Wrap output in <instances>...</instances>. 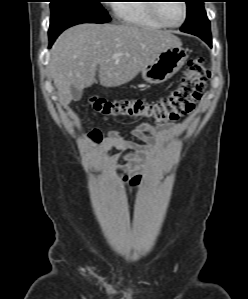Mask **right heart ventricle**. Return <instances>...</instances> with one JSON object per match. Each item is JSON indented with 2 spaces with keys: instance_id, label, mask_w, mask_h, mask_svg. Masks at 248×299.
Returning a JSON list of instances; mask_svg holds the SVG:
<instances>
[{
  "instance_id": "obj_1",
  "label": "right heart ventricle",
  "mask_w": 248,
  "mask_h": 299,
  "mask_svg": "<svg viewBox=\"0 0 248 299\" xmlns=\"http://www.w3.org/2000/svg\"><path fill=\"white\" fill-rule=\"evenodd\" d=\"M114 5L116 15L123 24L149 28L161 29L164 26L160 24L152 15L151 0L120 1Z\"/></svg>"
}]
</instances>
